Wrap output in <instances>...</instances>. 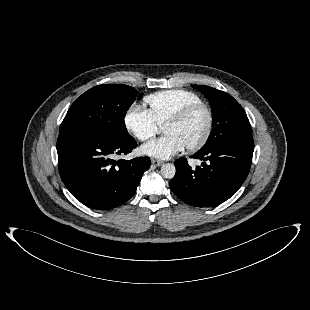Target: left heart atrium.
I'll return each mask as SVG.
<instances>
[{
    "label": "left heart atrium",
    "instance_id": "1",
    "mask_svg": "<svg viewBox=\"0 0 310 310\" xmlns=\"http://www.w3.org/2000/svg\"><path fill=\"white\" fill-rule=\"evenodd\" d=\"M184 147L179 137L169 134L144 144L141 147V152L145 155L165 160L182 151Z\"/></svg>",
    "mask_w": 310,
    "mask_h": 310
}]
</instances>
